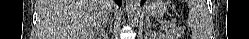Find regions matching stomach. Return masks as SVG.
I'll use <instances>...</instances> for the list:
<instances>
[{
    "instance_id": "0dacf381",
    "label": "stomach",
    "mask_w": 249,
    "mask_h": 39,
    "mask_svg": "<svg viewBox=\"0 0 249 39\" xmlns=\"http://www.w3.org/2000/svg\"><path fill=\"white\" fill-rule=\"evenodd\" d=\"M146 12L156 17H161L166 12V5L161 0H154L147 4Z\"/></svg>"
}]
</instances>
